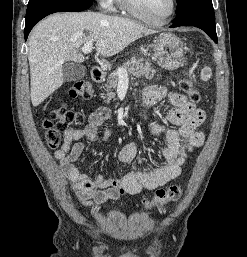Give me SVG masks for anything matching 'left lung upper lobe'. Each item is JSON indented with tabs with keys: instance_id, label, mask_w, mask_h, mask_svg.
<instances>
[{
	"instance_id": "obj_1",
	"label": "left lung upper lobe",
	"mask_w": 247,
	"mask_h": 257,
	"mask_svg": "<svg viewBox=\"0 0 247 257\" xmlns=\"http://www.w3.org/2000/svg\"><path fill=\"white\" fill-rule=\"evenodd\" d=\"M194 6L212 7V1L211 0H177L176 14Z\"/></svg>"
}]
</instances>
